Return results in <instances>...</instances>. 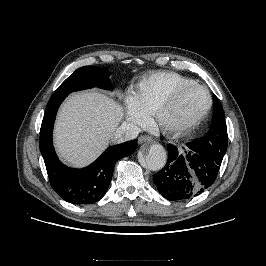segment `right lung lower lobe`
Returning a JSON list of instances; mask_svg holds the SVG:
<instances>
[{
    "instance_id": "1",
    "label": "right lung lower lobe",
    "mask_w": 266,
    "mask_h": 266,
    "mask_svg": "<svg viewBox=\"0 0 266 266\" xmlns=\"http://www.w3.org/2000/svg\"><path fill=\"white\" fill-rule=\"evenodd\" d=\"M67 95L54 93L47 104L40 130V151L54 191L67 202L91 204L104 196L111 182L115 163L136 150L137 140L109 147L84 169H72L63 165L55 153L52 132L58 107Z\"/></svg>"
}]
</instances>
